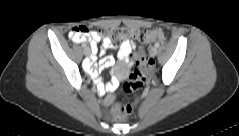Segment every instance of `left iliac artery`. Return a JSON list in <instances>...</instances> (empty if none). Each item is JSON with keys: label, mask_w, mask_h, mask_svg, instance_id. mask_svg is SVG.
Returning <instances> with one entry per match:
<instances>
[{"label": "left iliac artery", "mask_w": 239, "mask_h": 136, "mask_svg": "<svg viewBox=\"0 0 239 136\" xmlns=\"http://www.w3.org/2000/svg\"><path fill=\"white\" fill-rule=\"evenodd\" d=\"M160 46V43L159 42H156L155 43V47H159Z\"/></svg>", "instance_id": "44dca946"}]
</instances>
